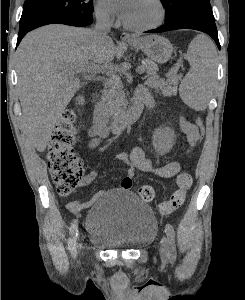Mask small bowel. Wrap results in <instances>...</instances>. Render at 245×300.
<instances>
[{
    "label": "small bowel",
    "instance_id": "c3829d8e",
    "mask_svg": "<svg viewBox=\"0 0 245 300\" xmlns=\"http://www.w3.org/2000/svg\"><path fill=\"white\" fill-rule=\"evenodd\" d=\"M139 92H145L150 97L152 103V98L146 89L141 88ZM179 127L187 138L189 144L187 153H189L199 142L201 138L200 131L195 124L187 121L182 116L179 118ZM109 134V130L94 123L89 131V147L95 148L100 144L101 141L106 139ZM116 158L130 166L126 175L121 180V188L126 190H129L132 187L133 177L136 172L150 173L161 178H172L175 177L181 170V165L177 161L169 162L163 166L154 165L153 162L145 155V151L141 146L134 147L129 154L119 153L116 155ZM96 176V171L90 172L84 177L82 185L91 183L96 178ZM99 196L100 193L96 194L92 199L83 203L76 200L69 201L66 205L67 209L72 213H78L81 210L92 205Z\"/></svg>",
    "mask_w": 245,
    "mask_h": 300
}]
</instances>
